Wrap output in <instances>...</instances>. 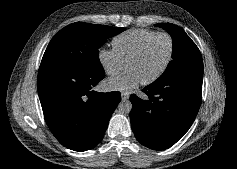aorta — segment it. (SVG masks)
Listing matches in <instances>:
<instances>
[{
    "label": "aorta",
    "instance_id": "aorta-1",
    "mask_svg": "<svg viewBox=\"0 0 237 169\" xmlns=\"http://www.w3.org/2000/svg\"><path fill=\"white\" fill-rule=\"evenodd\" d=\"M118 111L121 114H129L132 110V104L129 100H122L119 104H118Z\"/></svg>",
    "mask_w": 237,
    "mask_h": 169
}]
</instances>
